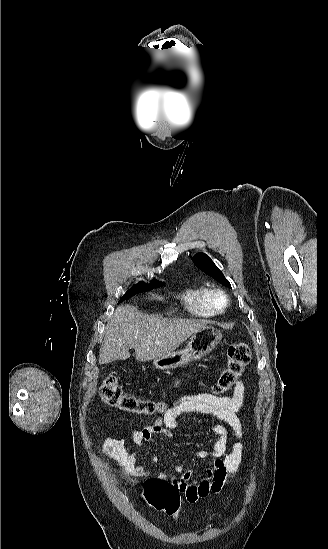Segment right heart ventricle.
Instances as JSON below:
<instances>
[{
	"label": "right heart ventricle",
	"mask_w": 328,
	"mask_h": 549,
	"mask_svg": "<svg viewBox=\"0 0 328 549\" xmlns=\"http://www.w3.org/2000/svg\"><path fill=\"white\" fill-rule=\"evenodd\" d=\"M210 291L206 286H194L186 290L183 296L186 319L202 320L217 316L212 310Z\"/></svg>",
	"instance_id": "1"
}]
</instances>
